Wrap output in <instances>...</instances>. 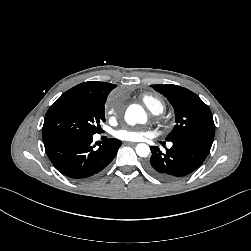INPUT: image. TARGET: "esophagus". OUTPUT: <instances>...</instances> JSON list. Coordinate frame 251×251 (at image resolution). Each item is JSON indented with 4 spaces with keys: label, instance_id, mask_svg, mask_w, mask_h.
Listing matches in <instances>:
<instances>
[{
    "label": "esophagus",
    "instance_id": "esophagus-1",
    "mask_svg": "<svg viewBox=\"0 0 251 251\" xmlns=\"http://www.w3.org/2000/svg\"><path fill=\"white\" fill-rule=\"evenodd\" d=\"M126 144H127V145H136L135 142H130V141H127Z\"/></svg>",
    "mask_w": 251,
    "mask_h": 251
}]
</instances>
